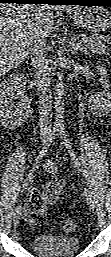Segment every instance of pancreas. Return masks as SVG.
Wrapping results in <instances>:
<instances>
[{
    "instance_id": "obj_1",
    "label": "pancreas",
    "mask_w": 111,
    "mask_h": 257,
    "mask_svg": "<svg viewBox=\"0 0 111 257\" xmlns=\"http://www.w3.org/2000/svg\"><path fill=\"white\" fill-rule=\"evenodd\" d=\"M84 46L86 49L91 50L99 55L106 54L111 45V38L102 36H88L84 37Z\"/></svg>"
}]
</instances>
